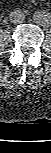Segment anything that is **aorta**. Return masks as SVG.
<instances>
[{"label": "aorta", "instance_id": "762f6f07", "mask_svg": "<svg viewBox=\"0 0 51 153\" xmlns=\"http://www.w3.org/2000/svg\"><path fill=\"white\" fill-rule=\"evenodd\" d=\"M31 17L36 21L37 24L49 28L51 27V13L50 12H42L35 10L32 12Z\"/></svg>", "mask_w": 51, "mask_h": 153}]
</instances>
